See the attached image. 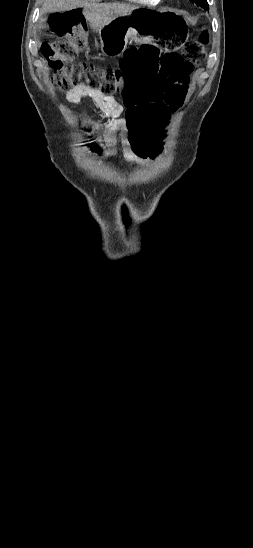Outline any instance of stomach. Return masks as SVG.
Masks as SVG:
<instances>
[{
    "mask_svg": "<svg viewBox=\"0 0 253 548\" xmlns=\"http://www.w3.org/2000/svg\"><path fill=\"white\" fill-rule=\"evenodd\" d=\"M97 31L103 54L119 56L129 41L177 48L186 40V19L175 11L138 8Z\"/></svg>",
    "mask_w": 253,
    "mask_h": 548,
    "instance_id": "stomach-1",
    "label": "stomach"
}]
</instances>
